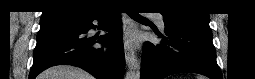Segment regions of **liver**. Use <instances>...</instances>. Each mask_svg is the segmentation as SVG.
<instances>
[{
    "label": "liver",
    "mask_w": 255,
    "mask_h": 79,
    "mask_svg": "<svg viewBox=\"0 0 255 79\" xmlns=\"http://www.w3.org/2000/svg\"><path fill=\"white\" fill-rule=\"evenodd\" d=\"M38 79H94V77L81 68L59 65L45 70Z\"/></svg>",
    "instance_id": "1"
}]
</instances>
